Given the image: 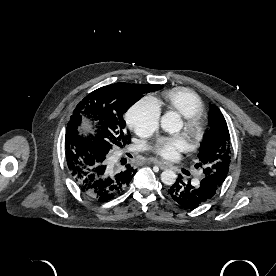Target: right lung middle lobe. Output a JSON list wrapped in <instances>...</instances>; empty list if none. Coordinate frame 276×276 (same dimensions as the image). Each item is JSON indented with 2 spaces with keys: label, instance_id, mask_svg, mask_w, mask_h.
<instances>
[{
  "label": "right lung middle lobe",
  "instance_id": "right-lung-middle-lobe-1",
  "mask_svg": "<svg viewBox=\"0 0 276 276\" xmlns=\"http://www.w3.org/2000/svg\"><path fill=\"white\" fill-rule=\"evenodd\" d=\"M162 88L161 85L116 83L89 93L73 111L65 139L78 135V126L86 118L93 126L86 138L95 141L107 155L112 146L130 141V133L124 129L123 114L145 94Z\"/></svg>",
  "mask_w": 276,
  "mask_h": 276
}]
</instances>
